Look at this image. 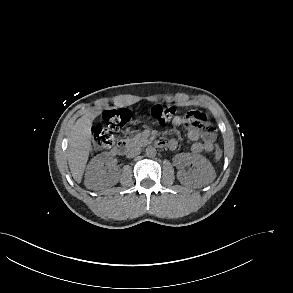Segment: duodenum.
<instances>
[{"instance_id":"obj_1","label":"duodenum","mask_w":293,"mask_h":293,"mask_svg":"<svg viewBox=\"0 0 293 293\" xmlns=\"http://www.w3.org/2000/svg\"><path fill=\"white\" fill-rule=\"evenodd\" d=\"M156 145L161 147L164 146L165 143L163 141H157ZM113 152L116 154H128L131 152V146L128 141L121 139L114 145Z\"/></svg>"}]
</instances>
